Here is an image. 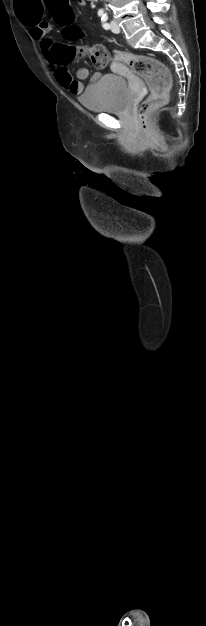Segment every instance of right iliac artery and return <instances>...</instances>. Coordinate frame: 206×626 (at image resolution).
I'll return each mask as SVG.
<instances>
[{
  "mask_svg": "<svg viewBox=\"0 0 206 626\" xmlns=\"http://www.w3.org/2000/svg\"><path fill=\"white\" fill-rule=\"evenodd\" d=\"M98 15H99V16H104V15H105V14H104V11H103V10H99V11H98Z\"/></svg>",
  "mask_w": 206,
  "mask_h": 626,
  "instance_id": "right-iliac-artery-1",
  "label": "right iliac artery"
}]
</instances>
